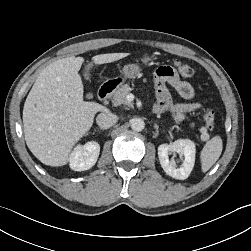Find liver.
Instances as JSON below:
<instances>
[{
    "label": "liver",
    "instance_id": "obj_1",
    "mask_svg": "<svg viewBox=\"0 0 251 251\" xmlns=\"http://www.w3.org/2000/svg\"><path fill=\"white\" fill-rule=\"evenodd\" d=\"M129 53H109L92 57L96 65L111 63ZM83 58L59 59L38 75L23 108L25 141L43 164L63 166L73 146L90 130L95 114L107 111L96 102L83 100L79 75Z\"/></svg>",
    "mask_w": 251,
    "mask_h": 251
}]
</instances>
